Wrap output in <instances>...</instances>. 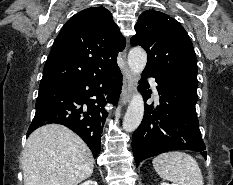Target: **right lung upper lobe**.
Masks as SVG:
<instances>
[{"mask_svg":"<svg viewBox=\"0 0 233 185\" xmlns=\"http://www.w3.org/2000/svg\"><path fill=\"white\" fill-rule=\"evenodd\" d=\"M125 39L104 7L75 14L61 29L43 69L41 85L90 77L117 67Z\"/></svg>","mask_w":233,"mask_h":185,"instance_id":"cb5924a9","label":"right lung upper lobe"}]
</instances>
